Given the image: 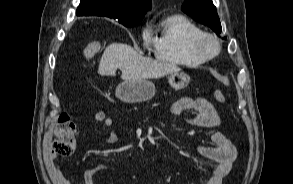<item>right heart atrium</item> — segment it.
<instances>
[{"label": "right heart atrium", "instance_id": "d8ad5b80", "mask_svg": "<svg viewBox=\"0 0 293 184\" xmlns=\"http://www.w3.org/2000/svg\"><path fill=\"white\" fill-rule=\"evenodd\" d=\"M142 41H143V46L145 48H148L150 45H153V39L150 35L148 27H143L142 29Z\"/></svg>", "mask_w": 293, "mask_h": 184}]
</instances>
